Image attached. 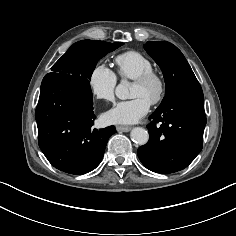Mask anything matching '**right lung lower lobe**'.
<instances>
[{
  "label": "right lung lower lobe",
  "instance_id": "obj_1",
  "mask_svg": "<svg viewBox=\"0 0 236 236\" xmlns=\"http://www.w3.org/2000/svg\"><path fill=\"white\" fill-rule=\"evenodd\" d=\"M39 147L58 170L80 175L101 162L114 126L95 129L91 90L59 76H45L35 111Z\"/></svg>",
  "mask_w": 236,
  "mask_h": 236
}]
</instances>
